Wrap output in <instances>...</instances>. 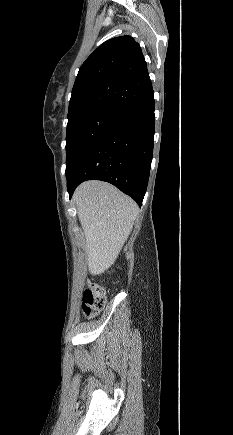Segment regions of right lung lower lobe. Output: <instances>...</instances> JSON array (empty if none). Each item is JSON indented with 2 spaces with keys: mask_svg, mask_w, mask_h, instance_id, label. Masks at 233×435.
<instances>
[{
  "mask_svg": "<svg viewBox=\"0 0 233 435\" xmlns=\"http://www.w3.org/2000/svg\"><path fill=\"white\" fill-rule=\"evenodd\" d=\"M155 132L152 87L100 136L67 177L70 197L83 181L115 185L142 205L153 156Z\"/></svg>",
  "mask_w": 233,
  "mask_h": 435,
  "instance_id": "1",
  "label": "right lung lower lobe"
}]
</instances>
